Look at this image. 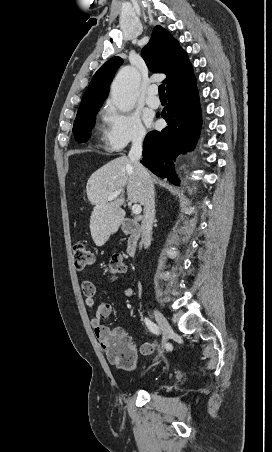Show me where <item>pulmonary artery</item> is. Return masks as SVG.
Instances as JSON below:
<instances>
[{
    "label": "pulmonary artery",
    "mask_w": 272,
    "mask_h": 452,
    "mask_svg": "<svg viewBox=\"0 0 272 452\" xmlns=\"http://www.w3.org/2000/svg\"><path fill=\"white\" fill-rule=\"evenodd\" d=\"M157 93V88L156 86L152 85L148 88V95L146 98V104L151 107V108H158L160 106V100L159 98L156 96Z\"/></svg>",
    "instance_id": "pulmonary-artery-1"
}]
</instances>
